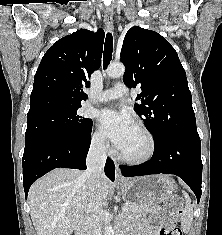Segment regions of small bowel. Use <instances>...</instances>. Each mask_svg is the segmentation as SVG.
Instances as JSON below:
<instances>
[{"mask_svg": "<svg viewBox=\"0 0 222 235\" xmlns=\"http://www.w3.org/2000/svg\"><path fill=\"white\" fill-rule=\"evenodd\" d=\"M156 224H157V220L155 218H153L150 221V227L147 229H140L139 232L137 233V235H158L155 230Z\"/></svg>", "mask_w": 222, "mask_h": 235, "instance_id": "obj_1", "label": "small bowel"}]
</instances>
